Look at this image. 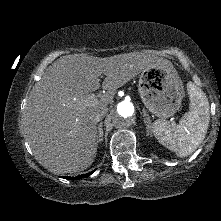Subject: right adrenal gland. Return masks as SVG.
<instances>
[{
    "label": "right adrenal gland",
    "mask_w": 221,
    "mask_h": 221,
    "mask_svg": "<svg viewBox=\"0 0 221 221\" xmlns=\"http://www.w3.org/2000/svg\"><path fill=\"white\" fill-rule=\"evenodd\" d=\"M103 122L101 121L99 124H98V142H102L103 141Z\"/></svg>",
    "instance_id": "obj_1"
}]
</instances>
